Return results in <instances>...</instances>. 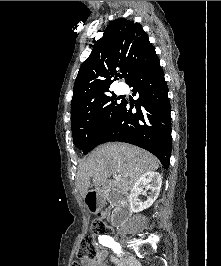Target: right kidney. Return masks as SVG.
<instances>
[{
	"label": "right kidney",
	"instance_id": "ca27d5eb",
	"mask_svg": "<svg viewBox=\"0 0 221 266\" xmlns=\"http://www.w3.org/2000/svg\"><path fill=\"white\" fill-rule=\"evenodd\" d=\"M162 185V177L158 172L149 171L141 175L135 182V185L130 193L131 210L135 213L149 208L157 199ZM150 189L147 201L141 202L138 196L143 192L144 188Z\"/></svg>",
	"mask_w": 221,
	"mask_h": 266
}]
</instances>
